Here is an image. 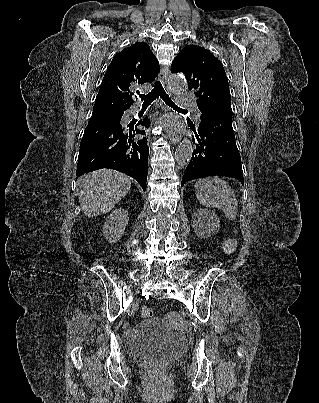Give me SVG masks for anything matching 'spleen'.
Segmentation results:
<instances>
[{"instance_id": "3e777b00", "label": "spleen", "mask_w": 319, "mask_h": 403, "mask_svg": "<svg viewBox=\"0 0 319 403\" xmlns=\"http://www.w3.org/2000/svg\"><path fill=\"white\" fill-rule=\"evenodd\" d=\"M195 194L198 201L206 207L223 210L228 220H235L238 201L230 185L219 177H208L196 182Z\"/></svg>"}]
</instances>
